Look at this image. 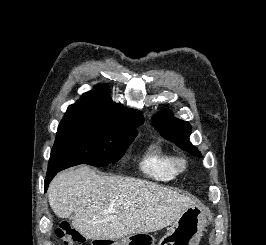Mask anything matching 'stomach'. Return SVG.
<instances>
[{"instance_id": "1", "label": "stomach", "mask_w": 266, "mask_h": 245, "mask_svg": "<svg viewBox=\"0 0 266 245\" xmlns=\"http://www.w3.org/2000/svg\"><path fill=\"white\" fill-rule=\"evenodd\" d=\"M207 225L206 217L199 207H189L179 219L169 227L158 245H199ZM155 239L149 233H133L120 241H110V245H154Z\"/></svg>"}]
</instances>
